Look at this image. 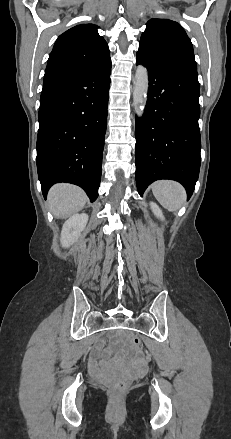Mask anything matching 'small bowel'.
<instances>
[{
	"label": "small bowel",
	"instance_id": "obj_1",
	"mask_svg": "<svg viewBox=\"0 0 231 439\" xmlns=\"http://www.w3.org/2000/svg\"><path fill=\"white\" fill-rule=\"evenodd\" d=\"M93 368L97 373L101 372V368L99 366V364L96 361H93Z\"/></svg>",
	"mask_w": 231,
	"mask_h": 439
}]
</instances>
